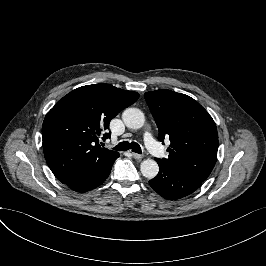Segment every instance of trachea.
<instances>
[{
	"instance_id": "obj_1",
	"label": "trachea",
	"mask_w": 266,
	"mask_h": 266,
	"mask_svg": "<svg viewBox=\"0 0 266 266\" xmlns=\"http://www.w3.org/2000/svg\"><path fill=\"white\" fill-rule=\"evenodd\" d=\"M131 149L133 152H136L138 154H141V147L136 142H126L123 141L119 143L116 147H114V150L117 151H126Z\"/></svg>"
}]
</instances>
